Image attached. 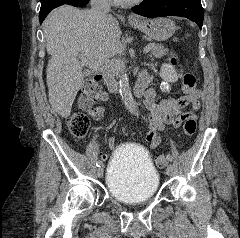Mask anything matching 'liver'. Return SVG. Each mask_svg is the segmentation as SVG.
<instances>
[{"mask_svg":"<svg viewBox=\"0 0 240 238\" xmlns=\"http://www.w3.org/2000/svg\"><path fill=\"white\" fill-rule=\"evenodd\" d=\"M43 26L51 55L46 69L49 102L56 113L67 118L83 85L79 56L108 60L120 49L121 31L115 17L98 19L70 5L54 9Z\"/></svg>","mask_w":240,"mask_h":238,"instance_id":"6515ba94","label":"liver"}]
</instances>
